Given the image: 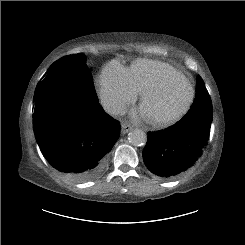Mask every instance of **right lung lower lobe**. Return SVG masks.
<instances>
[{"mask_svg": "<svg viewBox=\"0 0 245 245\" xmlns=\"http://www.w3.org/2000/svg\"><path fill=\"white\" fill-rule=\"evenodd\" d=\"M36 138L47 161L72 180L98 177L120 136V123L99 103L55 111L35 122Z\"/></svg>", "mask_w": 245, "mask_h": 245, "instance_id": "98d812e1", "label": "right lung lower lobe"}]
</instances>
